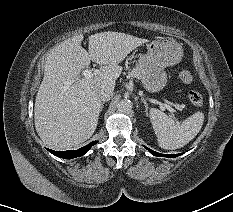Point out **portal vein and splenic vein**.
I'll return each instance as SVG.
<instances>
[{"label": "portal vein and splenic vein", "instance_id": "18ae733b", "mask_svg": "<svg viewBox=\"0 0 233 212\" xmlns=\"http://www.w3.org/2000/svg\"><path fill=\"white\" fill-rule=\"evenodd\" d=\"M93 74H94L93 70H90V69H85L83 71V76L85 78H90V77L93 76ZM68 84L70 85L71 82H68ZM158 104H159L161 110L168 109L169 111H173L172 108L169 105L165 104V103L158 102Z\"/></svg>", "mask_w": 233, "mask_h": 212}]
</instances>
